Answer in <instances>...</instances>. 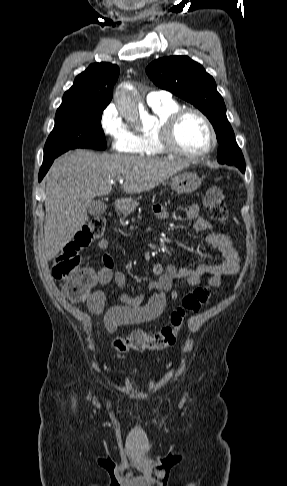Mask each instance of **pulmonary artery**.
Listing matches in <instances>:
<instances>
[{"mask_svg":"<svg viewBox=\"0 0 287 486\" xmlns=\"http://www.w3.org/2000/svg\"><path fill=\"white\" fill-rule=\"evenodd\" d=\"M146 100L149 105L160 103V102H166L171 100V94L163 90L151 91L148 93Z\"/></svg>","mask_w":287,"mask_h":486,"instance_id":"e3ab8cb5","label":"pulmonary artery"}]
</instances>
